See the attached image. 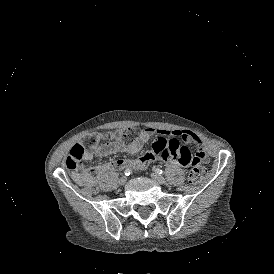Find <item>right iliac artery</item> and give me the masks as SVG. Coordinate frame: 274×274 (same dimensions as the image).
I'll list each match as a JSON object with an SVG mask.
<instances>
[{
    "instance_id": "obj_1",
    "label": "right iliac artery",
    "mask_w": 274,
    "mask_h": 274,
    "mask_svg": "<svg viewBox=\"0 0 274 274\" xmlns=\"http://www.w3.org/2000/svg\"><path fill=\"white\" fill-rule=\"evenodd\" d=\"M131 172H132V170L128 168V169L125 170L124 173H125L126 176H129L131 174Z\"/></svg>"
}]
</instances>
